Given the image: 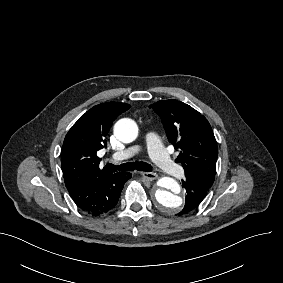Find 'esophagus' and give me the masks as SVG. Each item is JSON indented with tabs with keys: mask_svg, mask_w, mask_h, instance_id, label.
Listing matches in <instances>:
<instances>
[{
	"mask_svg": "<svg viewBox=\"0 0 283 283\" xmlns=\"http://www.w3.org/2000/svg\"><path fill=\"white\" fill-rule=\"evenodd\" d=\"M140 174L147 180L152 181L158 178V174L155 172H140Z\"/></svg>",
	"mask_w": 283,
	"mask_h": 283,
	"instance_id": "1",
	"label": "esophagus"
}]
</instances>
